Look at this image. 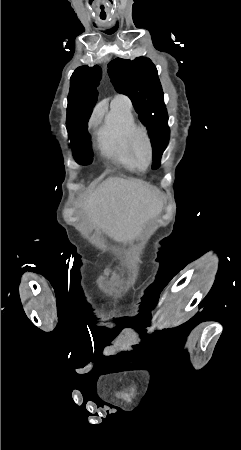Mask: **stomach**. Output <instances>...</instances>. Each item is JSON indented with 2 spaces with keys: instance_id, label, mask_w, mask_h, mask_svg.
<instances>
[{
  "instance_id": "obj_1",
  "label": "stomach",
  "mask_w": 241,
  "mask_h": 450,
  "mask_svg": "<svg viewBox=\"0 0 241 450\" xmlns=\"http://www.w3.org/2000/svg\"><path fill=\"white\" fill-rule=\"evenodd\" d=\"M117 280H119V281L121 280L120 276H117Z\"/></svg>"
}]
</instances>
